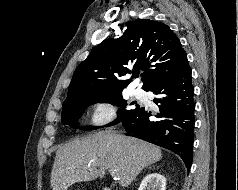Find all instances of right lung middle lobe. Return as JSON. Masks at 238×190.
<instances>
[{
	"instance_id": "obj_1",
	"label": "right lung middle lobe",
	"mask_w": 238,
	"mask_h": 190,
	"mask_svg": "<svg viewBox=\"0 0 238 190\" xmlns=\"http://www.w3.org/2000/svg\"><path fill=\"white\" fill-rule=\"evenodd\" d=\"M97 102L110 103L121 107V109L118 110L117 120L111 122L109 126L121 122L124 118H126L127 116H129L140 108L139 106H136L135 109H130L129 104L122 98L121 93L113 95L81 94L65 101V105L63 106V110L61 113L62 123L67 124L70 127L77 128V120L80 118L85 108L90 104ZM97 128L98 127H87L83 129L93 130Z\"/></svg>"
}]
</instances>
